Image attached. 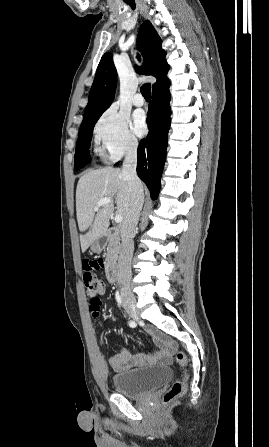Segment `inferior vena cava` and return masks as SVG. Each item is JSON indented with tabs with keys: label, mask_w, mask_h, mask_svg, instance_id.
Here are the masks:
<instances>
[{
	"label": "inferior vena cava",
	"mask_w": 269,
	"mask_h": 447,
	"mask_svg": "<svg viewBox=\"0 0 269 447\" xmlns=\"http://www.w3.org/2000/svg\"><path fill=\"white\" fill-rule=\"evenodd\" d=\"M138 142L128 146L123 162L122 174H124L131 192L130 210L121 225V249L118 257L117 283L122 293H129L131 281V259L134 251L133 237L139 222L140 212L144 204V192L141 180L136 174Z\"/></svg>",
	"instance_id": "obj_1"
}]
</instances>
